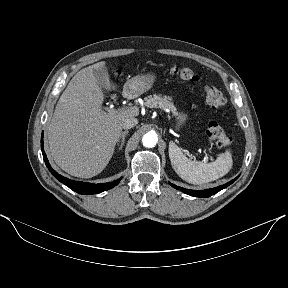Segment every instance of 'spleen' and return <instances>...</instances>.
<instances>
[{"label":"spleen","instance_id":"3e777b00","mask_svg":"<svg viewBox=\"0 0 288 288\" xmlns=\"http://www.w3.org/2000/svg\"><path fill=\"white\" fill-rule=\"evenodd\" d=\"M169 158L175 172L192 184H204L226 175L232 168L233 160L230 150L220 154L211 163L193 161L173 142L169 143Z\"/></svg>","mask_w":288,"mask_h":288}]
</instances>
